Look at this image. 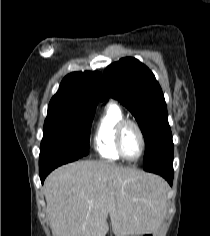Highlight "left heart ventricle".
Listing matches in <instances>:
<instances>
[{"label": "left heart ventricle", "instance_id": "b2bd125f", "mask_svg": "<svg viewBox=\"0 0 210 236\" xmlns=\"http://www.w3.org/2000/svg\"><path fill=\"white\" fill-rule=\"evenodd\" d=\"M141 142L138 132L133 126H127L122 135V149L126 157L135 158L138 156Z\"/></svg>", "mask_w": 210, "mask_h": 236}]
</instances>
